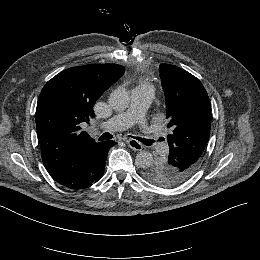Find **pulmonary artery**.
Instances as JSON below:
<instances>
[{
	"mask_svg": "<svg viewBox=\"0 0 260 260\" xmlns=\"http://www.w3.org/2000/svg\"><path fill=\"white\" fill-rule=\"evenodd\" d=\"M149 103L150 101L148 99L145 100L140 96L139 90L132 93V108L142 111L149 105ZM109 127L112 130H120L123 127V120L120 117H112L109 120Z\"/></svg>",
	"mask_w": 260,
	"mask_h": 260,
	"instance_id": "obj_1",
	"label": "pulmonary artery"
}]
</instances>
